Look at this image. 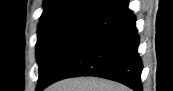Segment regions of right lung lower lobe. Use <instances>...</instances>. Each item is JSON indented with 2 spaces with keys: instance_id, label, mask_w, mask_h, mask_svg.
Listing matches in <instances>:
<instances>
[{
  "instance_id": "right-lung-lower-lobe-1",
  "label": "right lung lower lobe",
  "mask_w": 173,
  "mask_h": 91,
  "mask_svg": "<svg viewBox=\"0 0 173 91\" xmlns=\"http://www.w3.org/2000/svg\"><path fill=\"white\" fill-rule=\"evenodd\" d=\"M135 21L128 0H120L95 14L79 29L36 90L63 78L97 76L141 91L143 65Z\"/></svg>"
}]
</instances>
